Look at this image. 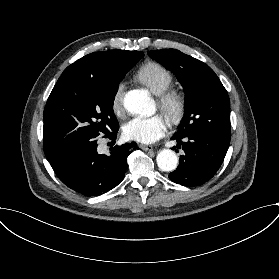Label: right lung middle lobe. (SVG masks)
Listing matches in <instances>:
<instances>
[{
	"label": "right lung middle lobe",
	"mask_w": 279,
	"mask_h": 279,
	"mask_svg": "<svg viewBox=\"0 0 279 279\" xmlns=\"http://www.w3.org/2000/svg\"><path fill=\"white\" fill-rule=\"evenodd\" d=\"M143 57H129L113 71L92 77L66 75L54 86L44 110L43 149L51 161L67 150L87 146L119 126L113 114L120 81Z\"/></svg>",
	"instance_id": "right-lung-middle-lobe-1"
}]
</instances>
